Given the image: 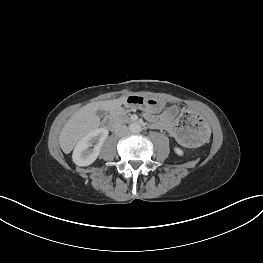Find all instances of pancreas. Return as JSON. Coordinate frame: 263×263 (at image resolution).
I'll return each mask as SVG.
<instances>
[{
  "instance_id": "cf45deb5",
  "label": "pancreas",
  "mask_w": 263,
  "mask_h": 263,
  "mask_svg": "<svg viewBox=\"0 0 263 263\" xmlns=\"http://www.w3.org/2000/svg\"><path fill=\"white\" fill-rule=\"evenodd\" d=\"M112 119L116 124L128 123L130 121L127 112L121 108L113 111Z\"/></svg>"
}]
</instances>
